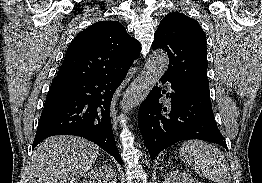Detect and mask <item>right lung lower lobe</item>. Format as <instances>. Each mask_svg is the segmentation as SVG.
<instances>
[{
  "label": "right lung lower lobe",
  "mask_w": 262,
  "mask_h": 183,
  "mask_svg": "<svg viewBox=\"0 0 262 183\" xmlns=\"http://www.w3.org/2000/svg\"><path fill=\"white\" fill-rule=\"evenodd\" d=\"M127 71L115 75L54 80L32 149L53 135H76L96 143L122 165L111 126L110 104Z\"/></svg>",
  "instance_id": "98d812e1"
}]
</instances>
